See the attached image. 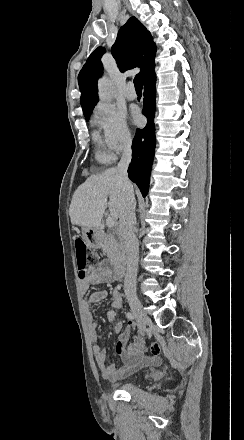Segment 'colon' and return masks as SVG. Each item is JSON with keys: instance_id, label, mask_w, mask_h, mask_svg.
<instances>
[{"instance_id": "colon-1", "label": "colon", "mask_w": 244, "mask_h": 440, "mask_svg": "<svg viewBox=\"0 0 244 440\" xmlns=\"http://www.w3.org/2000/svg\"><path fill=\"white\" fill-rule=\"evenodd\" d=\"M75 254L77 258L78 276L84 279L88 269L99 265V257L95 252L88 251L86 243L82 240L75 242ZM149 352L155 356L160 355L163 352L162 343L158 341L151 342Z\"/></svg>"}]
</instances>
